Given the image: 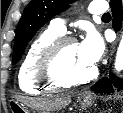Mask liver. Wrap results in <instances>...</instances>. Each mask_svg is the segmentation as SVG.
Returning a JSON list of instances; mask_svg holds the SVG:
<instances>
[{"label":"liver","instance_id":"liver-1","mask_svg":"<svg viewBox=\"0 0 123 113\" xmlns=\"http://www.w3.org/2000/svg\"><path fill=\"white\" fill-rule=\"evenodd\" d=\"M17 100L46 113L60 110L71 102V98L69 96L57 97L54 99H30L26 97H17Z\"/></svg>","mask_w":123,"mask_h":113}]
</instances>
